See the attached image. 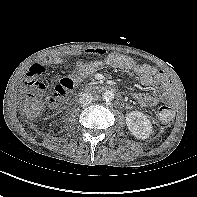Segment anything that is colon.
Masks as SVG:
<instances>
[{
	"label": "colon",
	"mask_w": 197,
	"mask_h": 197,
	"mask_svg": "<svg viewBox=\"0 0 197 197\" xmlns=\"http://www.w3.org/2000/svg\"><path fill=\"white\" fill-rule=\"evenodd\" d=\"M74 87V80L71 78H63L55 87L53 97L50 104L56 106L60 104L65 95H67ZM31 90L28 92L24 101V109L30 117H36L42 107V94L45 90V84L41 81H33L30 83ZM174 112L169 106H161L158 109V117L162 122L168 123L173 119Z\"/></svg>",
	"instance_id": "obj_1"
}]
</instances>
